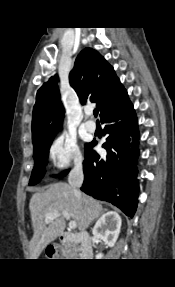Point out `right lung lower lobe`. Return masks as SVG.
<instances>
[{
    "label": "right lung lower lobe",
    "instance_id": "obj_1",
    "mask_svg": "<svg viewBox=\"0 0 175 287\" xmlns=\"http://www.w3.org/2000/svg\"><path fill=\"white\" fill-rule=\"evenodd\" d=\"M107 134L103 147L105 159L92 149L89 143L83 162L84 183L81 190L86 194L105 200L133 217L138 203V180L136 162L139 154V130L137 117L128 99L119 107L101 117Z\"/></svg>",
    "mask_w": 175,
    "mask_h": 287
}]
</instances>
